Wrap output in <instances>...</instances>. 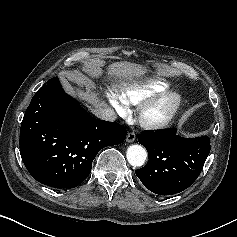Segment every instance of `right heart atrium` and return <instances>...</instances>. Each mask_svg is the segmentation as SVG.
Returning a JSON list of instances; mask_svg holds the SVG:
<instances>
[{"instance_id":"obj_1","label":"right heart atrium","mask_w":237,"mask_h":237,"mask_svg":"<svg viewBox=\"0 0 237 237\" xmlns=\"http://www.w3.org/2000/svg\"><path fill=\"white\" fill-rule=\"evenodd\" d=\"M109 100L113 108L119 113V114H125L127 112V104L124 102L121 98H119L117 95L110 93L109 94Z\"/></svg>"}]
</instances>
